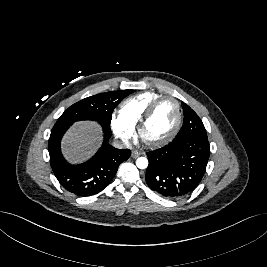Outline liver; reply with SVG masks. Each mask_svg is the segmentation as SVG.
Segmentation results:
<instances>
[{
	"instance_id": "liver-1",
	"label": "liver",
	"mask_w": 267,
	"mask_h": 267,
	"mask_svg": "<svg viewBox=\"0 0 267 267\" xmlns=\"http://www.w3.org/2000/svg\"><path fill=\"white\" fill-rule=\"evenodd\" d=\"M101 142V128L93 121L75 123L62 140V152L71 163L90 157Z\"/></svg>"
}]
</instances>
